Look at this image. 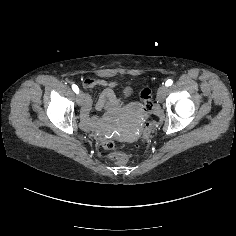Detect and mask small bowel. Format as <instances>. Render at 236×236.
<instances>
[{
  "mask_svg": "<svg viewBox=\"0 0 236 236\" xmlns=\"http://www.w3.org/2000/svg\"><path fill=\"white\" fill-rule=\"evenodd\" d=\"M84 85L86 87H89V88H93V87L101 85V86L106 87L105 91H108V90L112 91L111 88L115 87L116 83L115 82H108V81H105V80H91V79H88L84 82ZM87 97L90 98L89 96L84 95V104H85V100H86ZM97 109H99V108L97 107Z\"/></svg>",
  "mask_w": 236,
  "mask_h": 236,
  "instance_id": "c3829d8e",
  "label": "small bowel"
}]
</instances>
